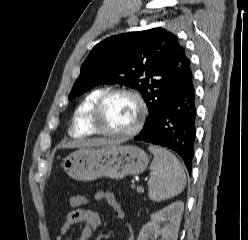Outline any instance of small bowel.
I'll use <instances>...</instances> for the list:
<instances>
[{
	"label": "small bowel",
	"mask_w": 248,
	"mask_h": 240,
	"mask_svg": "<svg viewBox=\"0 0 248 240\" xmlns=\"http://www.w3.org/2000/svg\"><path fill=\"white\" fill-rule=\"evenodd\" d=\"M96 201H106L113 209L115 217L119 220L125 218V213L121 204L112 192L97 191L94 195ZM82 224V230L77 236L76 240H88L92 233L101 226V217L99 213L91 208H81L70 211L61 226L60 233L55 237V240H63V235L66 234L75 224ZM128 237L127 240H134V231L132 227L127 224Z\"/></svg>",
	"instance_id": "c3829d8e"
}]
</instances>
